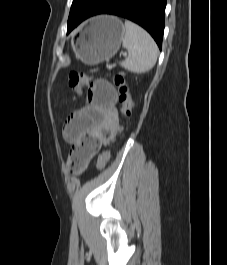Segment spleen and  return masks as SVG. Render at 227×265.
Here are the masks:
<instances>
[{
	"label": "spleen",
	"mask_w": 227,
	"mask_h": 265,
	"mask_svg": "<svg viewBox=\"0 0 227 265\" xmlns=\"http://www.w3.org/2000/svg\"><path fill=\"white\" fill-rule=\"evenodd\" d=\"M122 45L129 56L121 66L134 73H144L152 69L158 58V47L153 38L140 26L126 20Z\"/></svg>",
	"instance_id": "obj_1"
}]
</instances>
